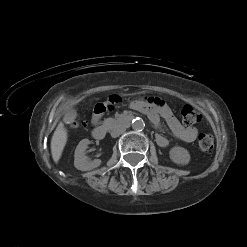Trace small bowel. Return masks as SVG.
<instances>
[{
    "label": "small bowel",
    "mask_w": 247,
    "mask_h": 247,
    "mask_svg": "<svg viewBox=\"0 0 247 247\" xmlns=\"http://www.w3.org/2000/svg\"><path fill=\"white\" fill-rule=\"evenodd\" d=\"M119 102V98L110 96L105 104L98 103L95 106L93 123H98L104 112L111 113ZM131 107L146 114L154 126H159L161 119H164L174 136L181 141L191 143L198 136V130L195 127L183 126L169 106L160 99L136 100L132 102ZM156 142L161 147L168 145V140L161 134L156 135Z\"/></svg>",
    "instance_id": "obj_1"
}]
</instances>
